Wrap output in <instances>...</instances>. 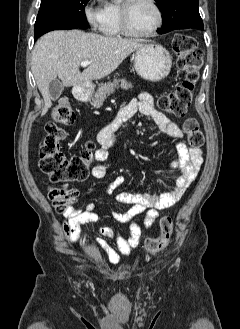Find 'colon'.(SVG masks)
I'll use <instances>...</instances> for the list:
<instances>
[{
    "label": "colon",
    "mask_w": 240,
    "mask_h": 329,
    "mask_svg": "<svg viewBox=\"0 0 240 329\" xmlns=\"http://www.w3.org/2000/svg\"><path fill=\"white\" fill-rule=\"evenodd\" d=\"M177 55V67L184 74L181 84L158 99L160 108L173 116L182 117L192 102L193 90L199 79V70L203 63V52L197 41L187 34H176L172 41ZM76 114L67 96L58 98L52 110V121L46 125V136L39 152V166L52 183L79 182L85 180L93 162L95 145L87 142L74 156L67 157L60 148L65 134L60 126H69L75 122ZM183 129L191 147L201 151L204 135L199 123L188 118ZM48 197L58 213L67 212L77 199V192L62 187H51ZM173 232V219L165 216L160 221V234L148 238L145 243L147 253L153 254L166 248Z\"/></svg>",
    "instance_id": "5ec220e1"
}]
</instances>
